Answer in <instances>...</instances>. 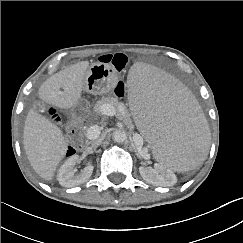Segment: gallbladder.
Wrapping results in <instances>:
<instances>
[{
    "label": "gallbladder",
    "instance_id": "1",
    "mask_svg": "<svg viewBox=\"0 0 243 243\" xmlns=\"http://www.w3.org/2000/svg\"><path fill=\"white\" fill-rule=\"evenodd\" d=\"M47 105H49V104H44L43 102H40V101H37V102H35V104H34V106H33V109L36 111V112H43V114L46 116V113H45V111H44V108H45V106H47ZM50 106H52V105H50ZM52 108H54L53 106H52Z\"/></svg>",
    "mask_w": 243,
    "mask_h": 243
}]
</instances>
